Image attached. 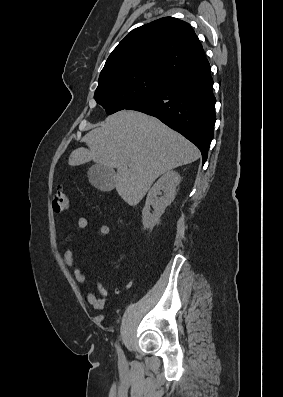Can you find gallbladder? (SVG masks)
I'll list each match as a JSON object with an SVG mask.
<instances>
[{"label":"gallbladder","instance_id":"gallbladder-1","mask_svg":"<svg viewBox=\"0 0 283 397\" xmlns=\"http://www.w3.org/2000/svg\"><path fill=\"white\" fill-rule=\"evenodd\" d=\"M89 182L103 192H109L115 187L116 173L114 169L102 164L93 165L88 171Z\"/></svg>","mask_w":283,"mask_h":397}]
</instances>
